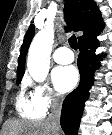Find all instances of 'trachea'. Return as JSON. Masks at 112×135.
Masks as SVG:
<instances>
[{"label":"trachea","instance_id":"3493384b","mask_svg":"<svg viewBox=\"0 0 112 135\" xmlns=\"http://www.w3.org/2000/svg\"><path fill=\"white\" fill-rule=\"evenodd\" d=\"M69 45L72 49L74 50H77L78 48V43H77V38L75 35H72L70 38H69Z\"/></svg>","mask_w":112,"mask_h":135}]
</instances>
